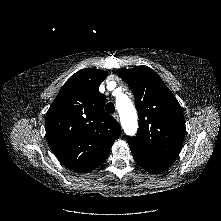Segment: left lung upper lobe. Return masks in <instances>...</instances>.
Masks as SVG:
<instances>
[{"mask_svg":"<svg viewBox=\"0 0 221 221\" xmlns=\"http://www.w3.org/2000/svg\"><path fill=\"white\" fill-rule=\"evenodd\" d=\"M135 97L139 129L127 137L130 147L161 160L173 162L180 153L185 137L181 106L159 75L147 66L117 70Z\"/></svg>","mask_w":221,"mask_h":221,"instance_id":"1","label":"left lung upper lobe"}]
</instances>
